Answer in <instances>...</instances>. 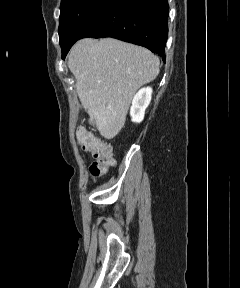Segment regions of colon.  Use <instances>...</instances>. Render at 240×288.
I'll use <instances>...</instances> for the list:
<instances>
[{
	"mask_svg": "<svg viewBox=\"0 0 240 288\" xmlns=\"http://www.w3.org/2000/svg\"><path fill=\"white\" fill-rule=\"evenodd\" d=\"M76 137L81 147L91 152L94 157V161L90 166L91 176L97 179L105 175L115 163L110 145L84 128L77 129Z\"/></svg>",
	"mask_w": 240,
	"mask_h": 288,
	"instance_id": "obj_1",
	"label": "colon"
}]
</instances>
